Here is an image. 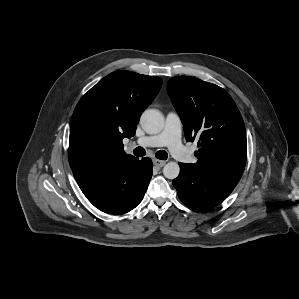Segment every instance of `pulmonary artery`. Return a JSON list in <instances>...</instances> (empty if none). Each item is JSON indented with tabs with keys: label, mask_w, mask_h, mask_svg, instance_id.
<instances>
[{
	"label": "pulmonary artery",
	"mask_w": 299,
	"mask_h": 299,
	"mask_svg": "<svg viewBox=\"0 0 299 299\" xmlns=\"http://www.w3.org/2000/svg\"><path fill=\"white\" fill-rule=\"evenodd\" d=\"M182 123L179 115L168 112L164 129L161 133L141 137L136 144L142 147H161L167 146L174 157L183 162L192 161V155L181 143Z\"/></svg>",
	"instance_id": "pulmonary-artery-1"
}]
</instances>
